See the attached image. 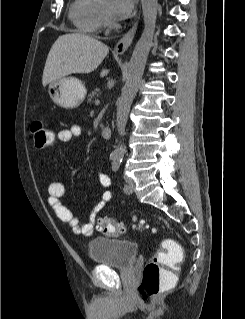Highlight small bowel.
Listing matches in <instances>:
<instances>
[{"instance_id": "obj_1", "label": "small bowel", "mask_w": 245, "mask_h": 319, "mask_svg": "<svg viewBox=\"0 0 245 319\" xmlns=\"http://www.w3.org/2000/svg\"><path fill=\"white\" fill-rule=\"evenodd\" d=\"M82 135V128L77 125H71L69 128L62 129L58 132L57 138L62 143H67L72 139L79 138ZM98 180L100 185L105 189L99 201L95 204L88 221L81 224L80 219L74 216L71 210L66 207L61 198L65 194L66 186L63 182L55 180L48 187V203L55 211L58 218L69 224L73 233L84 237H91L94 234V224L97 214L105 208V206L113 199V193L108 189L110 186V178L105 172H98Z\"/></svg>"}]
</instances>
